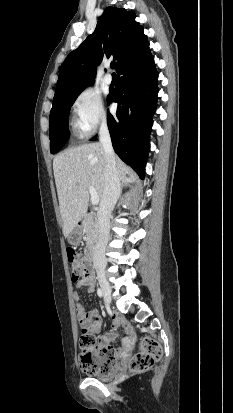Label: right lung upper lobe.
Wrapping results in <instances>:
<instances>
[{"label":"right lung upper lobe","mask_w":233,"mask_h":413,"mask_svg":"<svg viewBox=\"0 0 233 413\" xmlns=\"http://www.w3.org/2000/svg\"><path fill=\"white\" fill-rule=\"evenodd\" d=\"M136 15L122 8L107 7L96 29L61 65L53 104L76 94L92 81L104 56H113L116 70L127 58L139 51L148 39L135 21Z\"/></svg>","instance_id":"obj_1"}]
</instances>
